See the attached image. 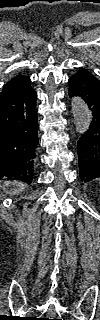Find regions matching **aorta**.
I'll list each match as a JSON object with an SVG mask.
<instances>
[{"label": "aorta", "instance_id": "obj_1", "mask_svg": "<svg viewBox=\"0 0 100 320\" xmlns=\"http://www.w3.org/2000/svg\"><path fill=\"white\" fill-rule=\"evenodd\" d=\"M71 108L76 132L81 135L89 129L92 113L84 100L76 96L71 99Z\"/></svg>", "mask_w": 100, "mask_h": 320}]
</instances>
